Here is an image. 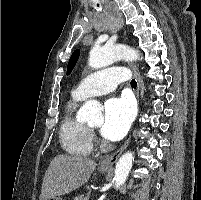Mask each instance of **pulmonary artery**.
Wrapping results in <instances>:
<instances>
[{
  "label": "pulmonary artery",
  "mask_w": 201,
  "mask_h": 200,
  "mask_svg": "<svg viewBox=\"0 0 201 200\" xmlns=\"http://www.w3.org/2000/svg\"><path fill=\"white\" fill-rule=\"evenodd\" d=\"M129 79V73L121 67H111L94 72L83 78L73 94L86 99L113 91L121 82Z\"/></svg>",
  "instance_id": "1"
}]
</instances>
